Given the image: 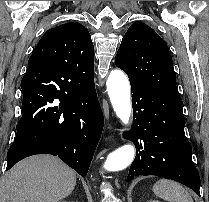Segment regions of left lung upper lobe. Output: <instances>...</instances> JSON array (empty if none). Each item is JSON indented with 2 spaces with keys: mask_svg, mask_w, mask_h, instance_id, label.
<instances>
[{
  "mask_svg": "<svg viewBox=\"0 0 209 202\" xmlns=\"http://www.w3.org/2000/svg\"><path fill=\"white\" fill-rule=\"evenodd\" d=\"M115 64L130 82L179 96L170 51L165 41L148 25L135 22L124 35Z\"/></svg>",
  "mask_w": 209,
  "mask_h": 202,
  "instance_id": "5c2ea615",
  "label": "left lung upper lobe"
}]
</instances>
